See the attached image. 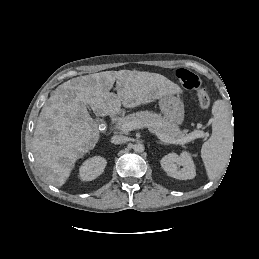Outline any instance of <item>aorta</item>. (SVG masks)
I'll return each instance as SVG.
<instances>
[{
    "label": "aorta",
    "mask_w": 259,
    "mask_h": 259,
    "mask_svg": "<svg viewBox=\"0 0 259 259\" xmlns=\"http://www.w3.org/2000/svg\"><path fill=\"white\" fill-rule=\"evenodd\" d=\"M133 150L136 152V153H142L144 151V145L141 144V143H137L133 146Z\"/></svg>",
    "instance_id": "1"
}]
</instances>
